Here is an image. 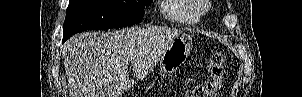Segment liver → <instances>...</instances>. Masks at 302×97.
<instances>
[{
    "label": "liver",
    "instance_id": "6515ba94",
    "mask_svg": "<svg viewBox=\"0 0 302 97\" xmlns=\"http://www.w3.org/2000/svg\"><path fill=\"white\" fill-rule=\"evenodd\" d=\"M180 34L177 29L148 27L74 35L62 50L69 97H120L133 83L129 64L137 79L145 77Z\"/></svg>",
    "mask_w": 302,
    "mask_h": 97
}]
</instances>
